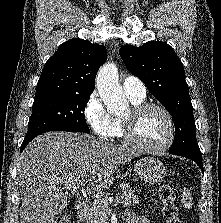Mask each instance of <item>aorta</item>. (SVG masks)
Instances as JSON below:
<instances>
[{
    "instance_id": "762f6f07",
    "label": "aorta",
    "mask_w": 221,
    "mask_h": 223,
    "mask_svg": "<svg viewBox=\"0 0 221 223\" xmlns=\"http://www.w3.org/2000/svg\"><path fill=\"white\" fill-rule=\"evenodd\" d=\"M96 86L110 114L120 115L129 109V103L118 81V70L115 64L106 63L101 66L96 76Z\"/></svg>"
}]
</instances>
